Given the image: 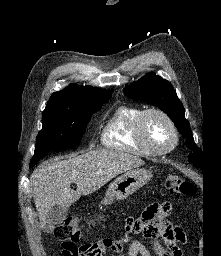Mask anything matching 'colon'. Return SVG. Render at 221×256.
Returning <instances> with one entry per match:
<instances>
[{"label": "colon", "mask_w": 221, "mask_h": 256, "mask_svg": "<svg viewBox=\"0 0 221 256\" xmlns=\"http://www.w3.org/2000/svg\"><path fill=\"white\" fill-rule=\"evenodd\" d=\"M166 187L172 193L184 195H193L195 193V186L190 181L176 174L167 176ZM82 225L83 223L79 217L71 215L55 228L54 236L62 242L63 254H76L79 252L77 241L81 235Z\"/></svg>", "instance_id": "obj_1"}]
</instances>
